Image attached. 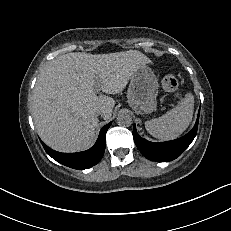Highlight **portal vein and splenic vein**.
<instances>
[{"label":"portal vein and splenic vein","mask_w":231,"mask_h":231,"mask_svg":"<svg viewBox=\"0 0 231 231\" xmlns=\"http://www.w3.org/2000/svg\"><path fill=\"white\" fill-rule=\"evenodd\" d=\"M95 88H96V90L98 91V90H99V89H98V88H99V85H96Z\"/></svg>","instance_id":"portal-vein-and-splenic-vein-1"}]
</instances>
